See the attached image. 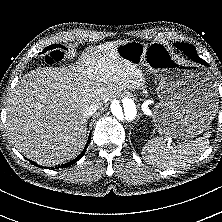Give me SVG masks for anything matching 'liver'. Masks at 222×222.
Returning <instances> with one entry per match:
<instances>
[{
	"instance_id": "liver-1",
	"label": "liver",
	"mask_w": 222,
	"mask_h": 222,
	"mask_svg": "<svg viewBox=\"0 0 222 222\" xmlns=\"http://www.w3.org/2000/svg\"><path fill=\"white\" fill-rule=\"evenodd\" d=\"M120 42L89 47L67 67L38 68L21 78L8 99L6 125L23 155L43 166L70 161L86 143L85 105L101 106L144 86L142 70L115 51Z\"/></svg>"
}]
</instances>
